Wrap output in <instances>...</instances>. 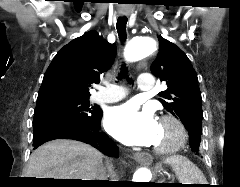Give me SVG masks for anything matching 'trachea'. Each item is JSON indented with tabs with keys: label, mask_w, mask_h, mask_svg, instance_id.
<instances>
[{
	"label": "trachea",
	"mask_w": 240,
	"mask_h": 187,
	"mask_svg": "<svg viewBox=\"0 0 240 187\" xmlns=\"http://www.w3.org/2000/svg\"><path fill=\"white\" fill-rule=\"evenodd\" d=\"M126 24H127L126 17H123V18L120 17L117 19L116 28H117L119 38L122 42L126 40ZM127 73H128L127 67L125 65H122L118 79L120 80L122 78L127 77Z\"/></svg>",
	"instance_id": "trachea-1"
}]
</instances>
